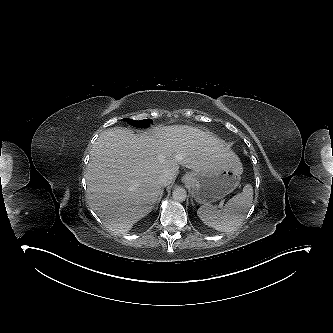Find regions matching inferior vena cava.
Listing matches in <instances>:
<instances>
[{"mask_svg": "<svg viewBox=\"0 0 333 333\" xmlns=\"http://www.w3.org/2000/svg\"><path fill=\"white\" fill-rule=\"evenodd\" d=\"M172 181L173 177L168 171H163L157 179L158 184L162 187L169 185Z\"/></svg>", "mask_w": 333, "mask_h": 333, "instance_id": "602c4592", "label": "inferior vena cava"}]
</instances>
